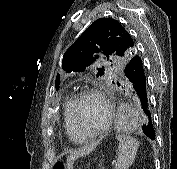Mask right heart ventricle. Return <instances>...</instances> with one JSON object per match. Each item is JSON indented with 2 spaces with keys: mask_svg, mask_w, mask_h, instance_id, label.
Masks as SVG:
<instances>
[{
  "mask_svg": "<svg viewBox=\"0 0 177 169\" xmlns=\"http://www.w3.org/2000/svg\"><path fill=\"white\" fill-rule=\"evenodd\" d=\"M74 101V96L68 95L63 103V127L67 137L73 142H79L71 125L70 111Z\"/></svg>",
  "mask_w": 177,
  "mask_h": 169,
  "instance_id": "right-heart-ventricle-1",
  "label": "right heart ventricle"
}]
</instances>
